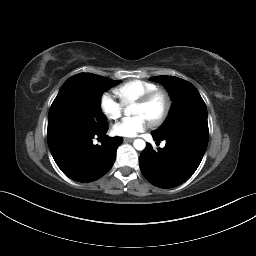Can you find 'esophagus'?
<instances>
[{
    "label": "esophagus",
    "instance_id": "esophagus-1",
    "mask_svg": "<svg viewBox=\"0 0 256 256\" xmlns=\"http://www.w3.org/2000/svg\"><path fill=\"white\" fill-rule=\"evenodd\" d=\"M134 141V138H124V142H132Z\"/></svg>",
    "mask_w": 256,
    "mask_h": 256
}]
</instances>
